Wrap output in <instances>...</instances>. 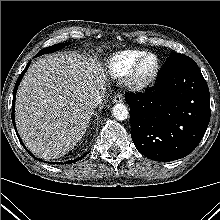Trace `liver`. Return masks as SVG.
<instances>
[{
	"mask_svg": "<svg viewBox=\"0 0 220 220\" xmlns=\"http://www.w3.org/2000/svg\"><path fill=\"white\" fill-rule=\"evenodd\" d=\"M101 64L80 54L54 53L34 62L17 91L15 121L25 146L37 157L57 159L81 140L94 107L95 91L104 92Z\"/></svg>",
	"mask_w": 220,
	"mask_h": 220,
	"instance_id": "liver-1",
	"label": "liver"
}]
</instances>
